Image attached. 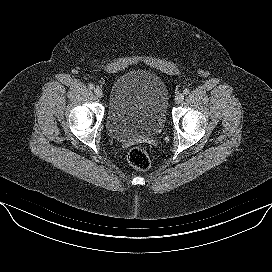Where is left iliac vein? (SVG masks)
Masks as SVG:
<instances>
[{
    "label": "left iliac vein",
    "mask_w": 272,
    "mask_h": 272,
    "mask_svg": "<svg viewBox=\"0 0 272 272\" xmlns=\"http://www.w3.org/2000/svg\"><path fill=\"white\" fill-rule=\"evenodd\" d=\"M174 100H175V102L177 104H179V103H181L184 100V95L182 93H178V94H176Z\"/></svg>",
    "instance_id": "1"
}]
</instances>
